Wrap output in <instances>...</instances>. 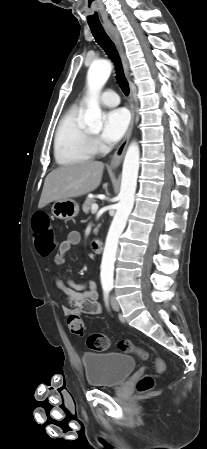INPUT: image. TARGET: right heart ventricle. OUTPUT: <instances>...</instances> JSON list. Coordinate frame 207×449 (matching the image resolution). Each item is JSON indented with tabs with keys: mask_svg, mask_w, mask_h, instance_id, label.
Listing matches in <instances>:
<instances>
[{
	"mask_svg": "<svg viewBox=\"0 0 207 449\" xmlns=\"http://www.w3.org/2000/svg\"><path fill=\"white\" fill-rule=\"evenodd\" d=\"M82 108L67 111L57 126L54 136V157L61 166L90 160L94 155L86 130L80 124Z\"/></svg>",
	"mask_w": 207,
	"mask_h": 449,
	"instance_id": "obj_1",
	"label": "right heart ventricle"
}]
</instances>
